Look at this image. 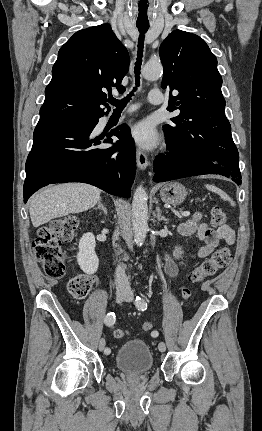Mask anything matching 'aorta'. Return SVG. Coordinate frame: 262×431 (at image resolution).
Segmentation results:
<instances>
[{
    "label": "aorta",
    "instance_id": "762f6f07",
    "mask_svg": "<svg viewBox=\"0 0 262 431\" xmlns=\"http://www.w3.org/2000/svg\"><path fill=\"white\" fill-rule=\"evenodd\" d=\"M163 73L160 62H148L142 70V75L146 80L158 79ZM148 206L147 193L142 186H138L133 195L132 201V225L134 242L137 246H142L148 231Z\"/></svg>",
    "mask_w": 262,
    "mask_h": 431
}]
</instances>
